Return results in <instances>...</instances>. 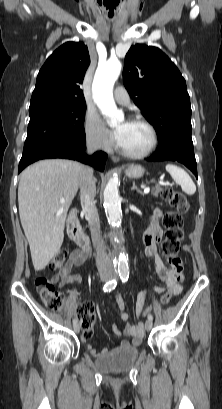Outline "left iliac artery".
<instances>
[{
	"mask_svg": "<svg viewBox=\"0 0 222 409\" xmlns=\"http://www.w3.org/2000/svg\"><path fill=\"white\" fill-rule=\"evenodd\" d=\"M119 275H120V278H121L122 282H126L128 280V278H129L128 269L120 268ZM147 318H148V320L152 321L153 320L152 314H149Z\"/></svg>",
	"mask_w": 222,
	"mask_h": 409,
	"instance_id": "44dca946",
	"label": "left iliac artery"
}]
</instances>
